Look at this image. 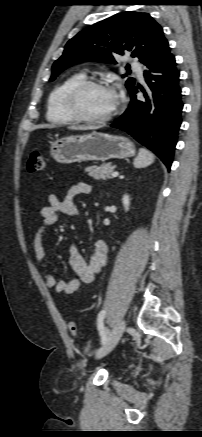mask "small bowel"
<instances>
[{
    "label": "small bowel",
    "mask_w": 202,
    "mask_h": 437,
    "mask_svg": "<svg viewBox=\"0 0 202 437\" xmlns=\"http://www.w3.org/2000/svg\"><path fill=\"white\" fill-rule=\"evenodd\" d=\"M90 192L91 186L80 182L73 185L62 200L54 193L48 195V205L40 209L42 224L37 229L33 239L35 259L39 266H44L46 262V253L43 247L45 231L55 224L61 215H77L79 209L76 198L79 195L90 194ZM107 254V245L102 240H96L93 243L88 260L83 257L75 245H72L70 247L69 264L76 277L70 280H57L52 273L45 271V287L48 289L54 288L57 293L74 294L79 292L82 284L92 283L96 275L101 272L106 264Z\"/></svg>",
    "instance_id": "obj_1"
}]
</instances>
